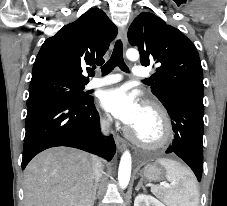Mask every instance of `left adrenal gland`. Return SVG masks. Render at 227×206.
I'll return each instance as SVG.
<instances>
[{"instance_id": "obj_1", "label": "left adrenal gland", "mask_w": 227, "mask_h": 206, "mask_svg": "<svg viewBox=\"0 0 227 206\" xmlns=\"http://www.w3.org/2000/svg\"><path fill=\"white\" fill-rule=\"evenodd\" d=\"M140 188L145 190V187L143 186L142 179L138 182V185L135 187V190L138 191Z\"/></svg>"}]
</instances>
